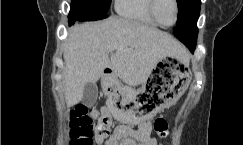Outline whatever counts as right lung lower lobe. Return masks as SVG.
Returning a JSON list of instances; mask_svg holds the SVG:
<instances>
[{"instance_id":"obj_1","label":"right lung lower lobe","mask_w":243,"mask_h":145,"mask_svg":"<svg viewBox=\"0 0 243 145\" xmlns=\"http://www.w3.org/2000/svg\"><path fill=\"white\" fill-rule=\"evenodd\" d=\"M107 13H102L90 7L71 6L69 13V24H74L76 21H93L106 18Z\"/></svg>"}]
</instances>
